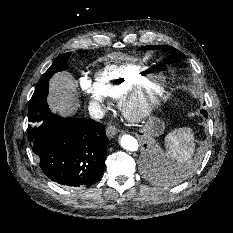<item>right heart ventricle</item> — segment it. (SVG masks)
I'll return each mask as SVG.
<instances>
[{
    "label": "right heart ventricle",
    "instance_id": "e07e8e85",
    "mask_svg": "<svg viewBox=\"0 0 233 233\" xmlns=\"http://www.w3.org/2000/svg\"><path fill=\"white\" fill-rule=\"evenodd\" d=\"M147 66H107L96 76V83L103 96L119 98L128 88L149 78Z\"/></svg>",
    "mask_w": 233,
    "mask_h": 233
}]
</instances>
